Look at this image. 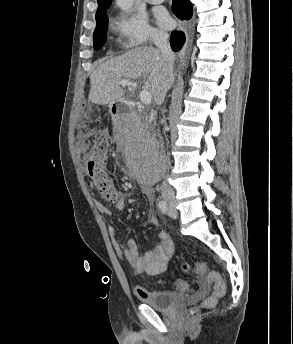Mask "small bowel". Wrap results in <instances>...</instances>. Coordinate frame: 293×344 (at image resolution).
Here are the masks:
<instances>
[{"mask_svg":"<svg viewBox=\"0 0 293 344\" xmlns=\"http://www.w3.org/2000/svg\"><path fill=\"white\" fill-rule=\"evenodd\" d=\"M89 141L90 138L87 135H79V148L81 150H86L89 146ZM125 204V198L120 196L114 207L117 210H123ZM97 209L104 215L110 216L112 214L111 209L103 203H97ZM149 223L157 226L159 222L156 216H151ZM108 233L118 256L137 272L146 273L150 276H158L167 269L169 261L174 253V244L167 233L161 232L159 234V243L149 249L144 255L139 254L137 243L132 239L128 240L124 247L121 246L117 240V229L115 226L109 225ZM178 288L181 291H187L188 285L183 282V286ZM206 290L207 286L203 285L200 289V293H204ZM135 293L139 298H142L145 295V289L138 287ZM200 293L197 294V296H199Z\"/></svg>","mask_w":293,"mask_h":344,"instance_id":"small-bowel-1","label":"small bowel"}]
</instances>
